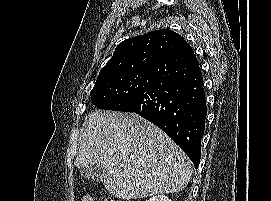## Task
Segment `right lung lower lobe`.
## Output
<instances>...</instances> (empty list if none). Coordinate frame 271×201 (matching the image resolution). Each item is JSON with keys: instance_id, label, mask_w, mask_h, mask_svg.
I'll return each mask as SVG.
<instances>
[{"instance_id": "obj_1", "label": "right lung lower lobe", "mask_w": 271, "mask_h": 201, "mask_svg": "<svg viewBox=\"0 0 271 201\" xmlns=\"http://www.w3.org/2000/svg\"><path fill=\"white\" fill-rule=\"evenodd\" d=\"M148 89L122 103L118 111L135 112L161 128L187 154L195 168L207 115L198 60L184 40L151 69Z\"/></svg>"}]
</instances>
